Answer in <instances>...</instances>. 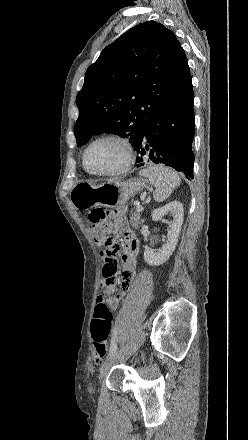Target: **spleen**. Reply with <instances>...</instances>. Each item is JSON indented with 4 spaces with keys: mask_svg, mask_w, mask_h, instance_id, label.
Here are the masks:
<instances>
[{
    "mask_svg": "<svg viewBox=\"0 0 248 440\" xmlns=\"http://www.w3.org/2000/svg\"><path fill=\"white\" fill-rule=\"evenodd\" d=\"M139 174L148 178L155 187L153 197L157 202L167 199L181 183V179L176 172L161 165L150 166L141 170Z\"/></svg>",
    "mask_w": 248,
    "mask_h": 440,
    "instance_id": "1",
    "label": "spleen"
}]
</instances>
